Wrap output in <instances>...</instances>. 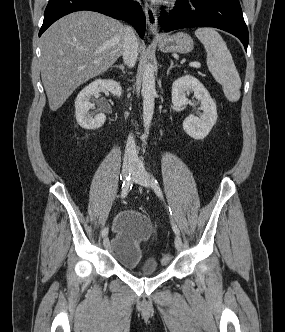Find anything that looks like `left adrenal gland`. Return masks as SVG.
Returning <instances> with one entry per match:
<instances>
[{
	"instance_id": "obj_1",
	"label": "left adrenal gland",
	"mask_w": 285,
	"mask_h": 332,
	"mask_svg": "<svg viewBox=\"0 0 285 332\" xmlns=\"http://www.w3.org/2000/svg\"><path fill=\"white\" fill-rule=\"evenodd\" d=\"M170 67L168 68V70H167V74H169V71L174 67V62H173V60L172 59H170Z\"/></svg>"
}]
</instances>
